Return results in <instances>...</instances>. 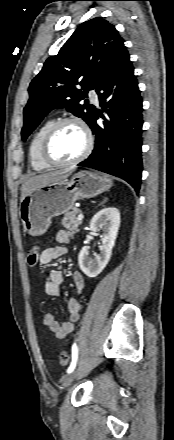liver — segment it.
I'll use <instances>...</instances> for the list:
<instances>
[{
    "mask_svg": "<svg viewBox=\"0 0 174 440\" xmlns=\"http://www.w3.org/2000/svg\"><path fill=\"white\" fill-rule=\"evenodd\" d=\"M67 176L68 175H66L64 171H53L31 177L22 185L20 201L22 202L26 195L32 190L49 183L59 181Z\"/></svg>",
    "mask_w": 174,
    "mask_h": 440,
    "instance_id": "6515ba94",
    "label": "liver"
}]
</instances>
